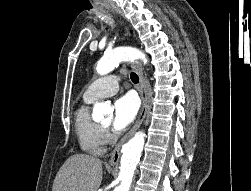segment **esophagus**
<instances>
[{"label":"esophagus","mask_w":251,"mask_h":191,"mask_svg":"<svg viewBox=\"0 0 251 191\" xmlns=\"http://www.w3.org/2000/svg\"><path fill=\"white\" fill-rule=\"evenodd\" d=\"M132 67L136 70V72L139 75V79H140L139 93L142 99V107L133 128H131V130L128 133L124 134V136L118 141L117 145L115 146L112 156L108 163L110 166H117L120 160V153H121L122 146L135 133V131L138 130V128L140 127L141 123L143 122L145 118L146 111H147L148 99H147V90H146V84H145V78H144L142 66L139 62H135V63H132Z\"/></svg>","instance_id":"obj_1"}]
</instances>
